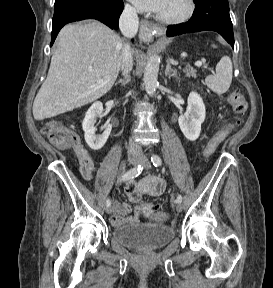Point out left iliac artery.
Returning a JSON list of instances; mask_svg holds the SVG:
<instances>
[{
  "mask_svg": "<svg viewBox=\"0 0 273 288\" xmlns=\"http://www.w3.org/2000/svg\"><path fill=\"white\" fill-rule=\"evenodd\" d=\"M151 162L153 163V165L155 167H159L162 164L161 158L158 155H156V154L152 155ZM176 202L177 203H181L182 202V196L181 195L177 196Z\"/></svg>",
  "mask_w": 273,
  "mask_h": 288,
  "instance_id": "44dca946",
  "label": "left iliac artery"
}]
</instances>
